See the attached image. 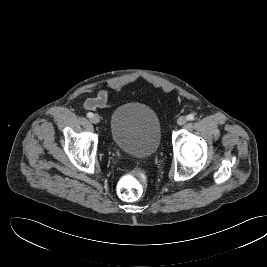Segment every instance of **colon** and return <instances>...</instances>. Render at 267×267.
<instances>
[{
	"mask_svg": "<svg viewBox=\"0 0 267 267\" xmlns=\"http://www.w3.org/2000/svg\"><path fill=\"white\" fill-rule=\"evenodd\" d=\"M145 176L141 172H133L125 175L119 183V196L126 201L138 200L145 189Z\"/></svg>",
	"mask_w": 267,
	"mask_h": 267,
	"instance_id": "colon-1",
	"label": "colon"
}]
</instances>
